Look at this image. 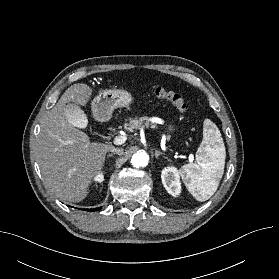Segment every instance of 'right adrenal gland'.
Listing matches in <instances>:
<instances>
[{
    "label": "right adrenal gland",
    "mask_w": 279,
    "mask_h": 279,
    "mask_svg": "<svg viewBox=\"0 0 279 279\" xmlns=\"http://www.w3.org/2000/svg\"><path fill=\"white\" fill-rule=\"evenodd\" d=\"M114 155L113 154H109L107 155V158H110V157H113Z\"/></svg>",
    "instance_id": "right-adrenal-gland-1"
}]
</instances>
